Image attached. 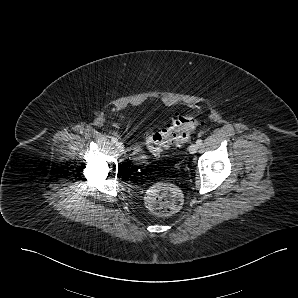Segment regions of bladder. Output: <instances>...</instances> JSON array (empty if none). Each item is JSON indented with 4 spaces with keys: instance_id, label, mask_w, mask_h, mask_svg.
Here are the masks:
<instances>
[{
    "instance_id": "bladder-1",
    "label": "bladder",
    "mask_w": 298,
    "mask_h": 298,
    "mask_svg": "<svg viewBox=\"0 0 298 298\" xmlns=\"http://www.w3.org/2000/svg\"><path fill=\"white\" fill-rule=\"evenodd\" d=\"M133 154L135 157H138V158L145 156V152L140 145H135L133 147Z\"/></svg>"
}]
</instances>
